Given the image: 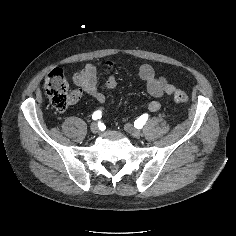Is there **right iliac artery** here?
Wrapping results in <instances>:
<instances>
[{"instance_id":"1","label":"right iliac artery","mask_w":236,"mask_h":236,"mask_svg":"<svg viewBox=\"0 0 236 236\" xmlns=\"http://www.w3.org/2000/svg\"><path fill=\"white\" fill-rule=\"evenodd\" d=\"M102 117L101 111H95L92 115L93 120H98Z\"/></svg>"}]
</instances>
